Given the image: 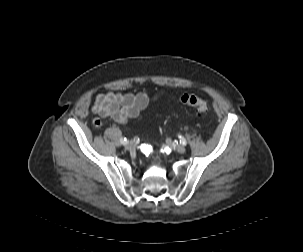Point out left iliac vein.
<instances>
[{
    "label": "left iliac vein",
    "mask_w": 303,
    "mask_h": 252,
    "mask_svg": "<svg viewBox=\"0 0 303 252\" xmlns=\"http://www.w3.org/2000/svg\"><path fill=\"white\" fill-rule=\"evenodd\" d=\"M167 143H168V144H171V145L175 148V150H176L178 153H180V154L185 153V147H184V146H182V145H180V144L172 143V142L170 141V139H167Z\"/></svg>",
    "instance_id": "left-iliac-vein-1"
}]
</instances>
